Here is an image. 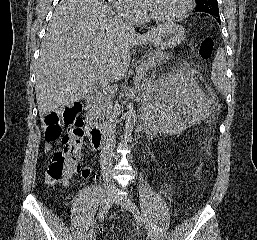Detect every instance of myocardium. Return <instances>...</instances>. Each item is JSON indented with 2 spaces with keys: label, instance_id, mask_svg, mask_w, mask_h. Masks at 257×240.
Returning <instances> with one entry per match:
<instances>
[{
  "label": "myocardium",
  "instance_id": "myocardium-1",
  "mask_svg": "<svg viewBox=\"0 0 257 240\" xmlns=\"http://www.w3.org/2000/svg\"><path fill=\"white\" fill-rule=\"evenodd\" d=\"M145 8L147 10L148 16L151 20L160 23H168V22H176L183 17L191 10L192 7V0H184L183 7L175 14L169 16H159L155 14L152 9L150 8L148 1L144 0Z\"/></svg>",
  "mask_w": 257,
  "mask_h": 240
}]
</instances>
